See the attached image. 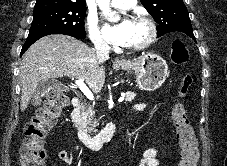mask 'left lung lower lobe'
<instances>
[{
	"label": "left lung lower lobe",
	"mask_w": 227,
	"mask_h": 166,
	"mask_svg": "<svg viewBox=\"0 0 227 166\" xmlns=\"http://www.w3.org/2000/svg\"><path fill=\"white\" fill-rule=\"evenodd\" d=\"M189 37H191L194 41H196L195 37H194V34L193 33H188L187 34Z\"/></svg>",
	"instance_id": "1"
}]
</instances>
